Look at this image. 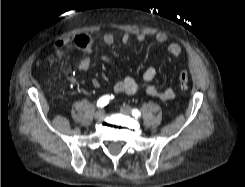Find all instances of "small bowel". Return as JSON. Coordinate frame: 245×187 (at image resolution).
<instances>
[{
    "label": "small bowel",
    "mask_w": 245,
    "mask_h": 187,
    "mask_svg": "<svg viewBox=\"0 0 245 187\" xmlns=\"http://www.w3.org/2000/svg\"><path fill=\"white\" fill-rule=\"evenodd\" d=\"M134 38L138 42H144L147 39V36L146 34L142 32H137L134 34ZM102 40H103V43L106 45H112L116 41L115 36L110 33L105 34ZM130 40H131V34L129 33H123L120 37V41L122 44H128ZM155 41L159 44L166 43L167 41L166 34L157 33L155 35ZM65 45H66V41L58 40L54 45L55 52L61 53ZM183 51L184 50L181 47V45H179L178 43L172 42L168 44L166 52H165V56L170 57V58L178 57L183 53ZM186 56L189 61L193 59L190 53H186ZM105 60L110 66L114 67V64L109 58L105 57ZM89 67H90V59L87 56H81L78 58L76 62V68L79 71H85ZM156 74H157V70H156V67L153 65L147 67V69L145 70L143 74V82L146 85V88H145L146 93L153 98H157L163 101H168V100L173 99L175 94L171 88L160 90L158 87L152 84V81L155 79ZM93 83L95 86L100 85L99 82L96 80H94ZM140 88H141L140 84L133 77H130V76H127L123 78L122 80H116L112 86V89L115 93L128 94V95L136 94L137 92H139Z\"/></svg>",
    "instance_id": "small-bowel-1"
}]
</instances>
